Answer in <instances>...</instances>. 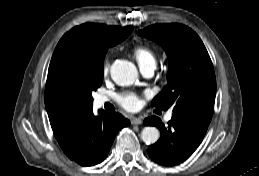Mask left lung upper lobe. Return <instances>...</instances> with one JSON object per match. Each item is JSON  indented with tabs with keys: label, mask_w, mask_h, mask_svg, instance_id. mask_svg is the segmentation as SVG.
Listing matches in <instances>:
<instances>
[{
	"label": "left lung upper lobe",
	"mask_w": 259,
	"mask_h": 176,
	"mask_svg": "<svg viewBox=\"0 0 259 176\" xmlns=\"http://www.w3.org/2000/svg\"><path fill=\"white\" fill-rule=\"evenodd\" d=\"M154 40L169 58L167 85L152 105L175 115H188L210 123L216 95V78L210 56L199 38L181 24H156L137 32Z\"/></svg>",
	"instance_id": "5c2ea615"
}]
</instances>
